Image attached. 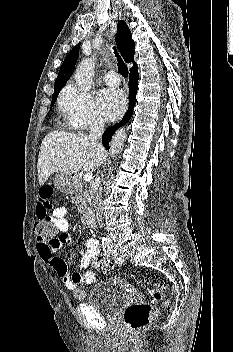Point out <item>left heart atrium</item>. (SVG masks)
<instances>
[{
  "instance_id": "left-heart-atrium-1",
  "label": "left heart atrium",
  "mask_w": 233,
  "mask_h": 352,
  "mask_svg": "<svg viewBox=\"0 0 233 352\" xmlns=\"http://www.w3.org/2000/svg\"><path fill=\"white\" fill-rule=\"evenodd\" d=\"M98 104L103 116L113 121L123 114L126 107V97L119 89L107 88L99 93Z\"/></svg>"
}]
</instances>
